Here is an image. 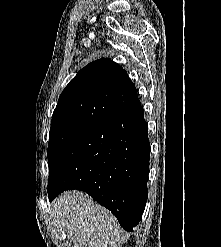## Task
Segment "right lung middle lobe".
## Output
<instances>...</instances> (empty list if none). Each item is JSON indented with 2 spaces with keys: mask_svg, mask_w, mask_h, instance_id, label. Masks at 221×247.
<instances>
[{
  "mask_svg": "<svg viewBox=\"0 0 221 247\" xmlns=\"http://www.w3.org/2000/svg\"><path fill=\"white\" fill-rule=\"evenodd\" d=\"M87 129H89V127L70 125L50 130L47 152L49 173L69 144Z\"/></svg>",
  "mask_w": 221,
  "mask_h": 247,
  "instance_id": "obj_1",
  "label": "right lung middle lobe"
}]
</instances>
